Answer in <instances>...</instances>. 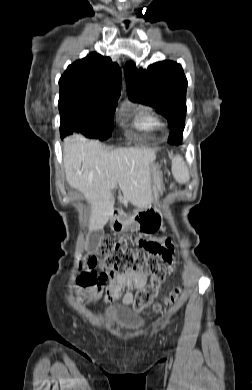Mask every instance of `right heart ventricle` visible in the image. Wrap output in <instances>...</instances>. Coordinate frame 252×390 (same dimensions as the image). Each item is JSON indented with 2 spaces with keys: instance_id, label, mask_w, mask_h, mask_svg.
Wrapping results in <instances>:
<instances>
[{
  "instance_id": "1",
  "label": "right heart ventricle",
  "mask_w": 252,
  "mask_h": 390,
  "mask_svg": "<svg viewBox=\"0 0 252 390\" xmlns=\"http://www.w3.org/2000/svg\"><path fill=\"white\" fill-rule=\"evenodd\" d=\"M160 126L161 121L154 111L147 108L141 111L140 117L137 121V127L139 129L151 131L159 128Z\"/></svg>"
}]
</instances>
